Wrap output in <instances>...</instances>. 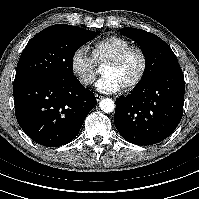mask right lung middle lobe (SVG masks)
I'll return each instance as SVG.
<instances>
[{
    "label": "right lung middle lobe",
    "instance_id": "obj_1",
    "mask_svg": "<svg viewBox=\"0 0 199 199\" xmlns=\"http://www.w3.org/2000/svg\"><path fill=\"white\" fill-rule=\"evenodd\" d=\"M96 35L94 31L63 24L42 30L23 50L14 82L34 77L75 78L74 53Z\"/></svg>",
    "mask_w": 199,
    "mask_h": 199
}]
</instances>
